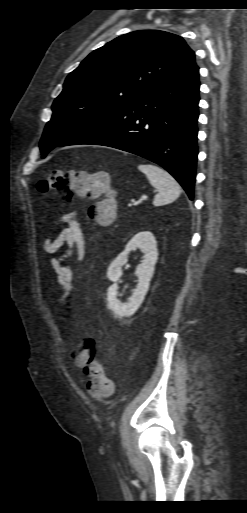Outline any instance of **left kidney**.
I'll return each instance as SVG.
<instances>
[{
    "label": "left kidney",
    "instance_id": "5707ae66",
    "mask_svg": "<svg viewBox=\"0 0 247 513\" xmlns=\"http://www.w3.org/2000/svg\"><path fill=\"white\" fill-rule=\"evenodd\" d=\"M139 248L143 252V260L136 268L135 275L138 278L136 289L128 302L121 303L118 299V284L122 276V266L128 261V254ZM158 258L157 241L151 232L143 231L136 234L126 245L123 252L110 264L107 272L108 278L114 282L108 288V308L114 317L132 316L140 307L149 289L150 280L154 273V266Z\"/></svg>",
    "mask_w": 247,
    "mask_h": 513
}]
</instances>
